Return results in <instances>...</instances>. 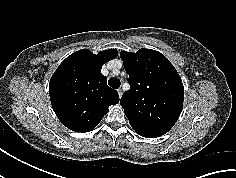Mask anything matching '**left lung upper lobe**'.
I'll list each match as a JSON object with an SVG mask.
<instances>
[{"mask_svg":"<svg viewBox=\"0 0 236 178\" xmlns=\"http://www.w3.org/2000/svg\"><path fill=\"white\" fill-rule=\"evenodd\" d=\"M120 57L130 84L120 104L131 127L148 138L167 133L179 118L184 100L176 69L163 54L151 49L122 51Z\"/></svg>","mask_w":236,"mask_h":178,"instance_id":"1","label":"left lung upper lobe"}]
</instances>
